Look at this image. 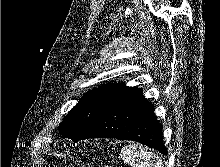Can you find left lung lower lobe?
I'll list each match as a JSON object with an SVG mask.
<instances>
[{"label": "left lung lower lobe", "mask_w": 220, "mask_h": 167, "mask_svg": "<svg viewBox=\"0 0 220 167\" xmlns=\"http://www.w3.org/2000/svg\"><path fill=\"white\" fill-rule=\"evenodd\" d=\"M153 108V104L142 95L141 89L127 87L109 104L80 140H133L167 154L163 145L162 125L155 118Z\"/></svg>", "instance_id": "0a47b994"}]
</instances>
